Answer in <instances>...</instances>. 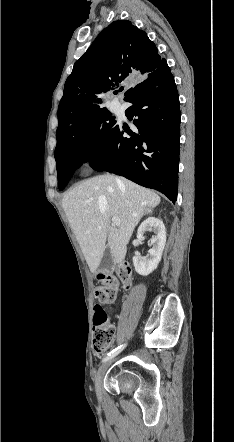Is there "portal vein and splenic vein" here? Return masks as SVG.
<instances>
[{
  "mask_svg": "<svg viewBox=\"0 0 234 442\" xmlns=\"http://www.w3.org/2000/svg\"><path fill=\"white\" fill-rule=\"evenodd\" d=\"M111 220L114 226H120V220L118 219V217L113 216Z\"/></svg>",
  "mask_w": 234,
  "mask_h": 442,
  "instance_id": "18ae733b",
  "label": "portal vein and splenic vein"
}]
</instances>
